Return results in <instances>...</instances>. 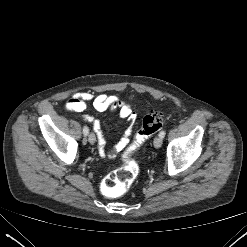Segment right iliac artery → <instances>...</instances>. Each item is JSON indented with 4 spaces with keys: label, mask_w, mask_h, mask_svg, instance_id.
Returning <instances> with one entry per match:
<instances>
[{
    "label": "right iliac artery",
    "mask_w": 247,
    "mask_h": 247,
    "mask_svg": "<svg viewBox=\"0 0 247 247\" xmlns=\"http://www.w3.org/2000/svg\"><path fill=\"white\" fill-rule=\"evenodd\" d=\"M88 133H89L88 127H87V126H84V127H83V134H84L85 136H87Z\"/></svg>",
    "instance_id": "82829eb1"
}]
</instances>
